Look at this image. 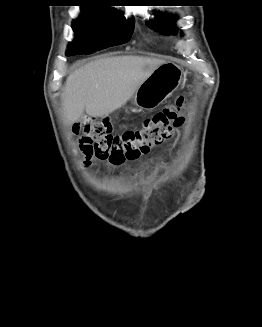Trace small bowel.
<instances>
[{"label":"small bowel","instance_id":"obj_1","mask_svg":"<svg viewBox=\"0 0 262 327\" xmlns=\"http://www.w3.org/2000/svg\"><path fill=\"white\" fill-rule=\"evenodd\" d=\"M80 129H81L80 124H74L73 127H72V131H73L74 134H79ZM84 155H85V154H84ZM85 156H86V155H85ZM91 159H92V157L89 156V155H87L85 161L83 162V165H84V166L89 165Z\"/></svg>","mask_w":262,"mask_h":327}]
</instances>
